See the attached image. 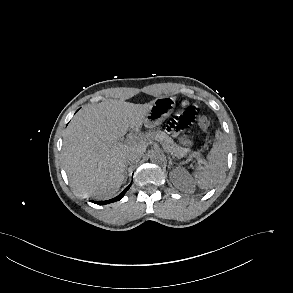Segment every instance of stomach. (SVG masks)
I'll return each instance as SVG.
<instances>
[{
	"mask_svg": "<svg viewBox=\"0 0 293 293\" xmlns=\"http://www.w3.org/2000/svg\"><path fill=\"white\" fill-rule=\"evenodd\" d=\"M175 100L172 97H159L154 100L152 107L144 118V125L153 128L162 124L172 113ZM181 143L185 146H192V141L186 137L181 138Z\"/></svg>",
	"mask_w": 293,
	"mask_h": 293,
	"instance_id": "1",
	"label": "stomach"
}]
</instances>
